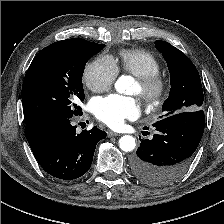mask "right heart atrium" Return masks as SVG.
Segmentation results:
<instances>
[{"label": "right heart atrium", "mask_w": 224, "mask_h": 224, "mask_svg": "<svg viewBox=\"0 0 224 224\" xmlns=\"http://www.w3.org/2000/svg\"><path fill=\"white\" fill-rule=\"evenodd\" d=\"M118 75L114 61L107 57H98L89 62L83 72L86 87L94 93L108 90Z\"/></svg>", "instance_id": "obj_1"}]
</instances>
